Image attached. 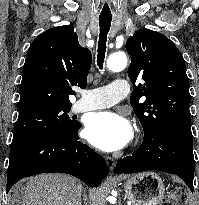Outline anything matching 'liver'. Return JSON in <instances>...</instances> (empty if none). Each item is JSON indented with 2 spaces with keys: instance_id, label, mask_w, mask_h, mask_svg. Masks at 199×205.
<instances>
[{
  "instance_id": "liver-1",
  "label": "liver",
  "mask_w": 199,
  "mask_h": 205,
  "mask_svg": "<svg viewBox=\"0 0 199 205\" xmlns=\"http://www.w3.org/2000/svg\"><path fill=\"white\" fill-rule=\"evenodd\" d=\"M82 184L65 174H41L28 180L21 205H81Z\"/></svg>"
}]
</instances>
